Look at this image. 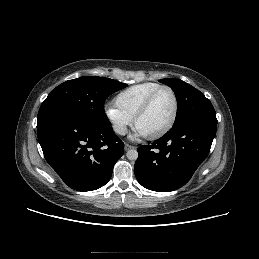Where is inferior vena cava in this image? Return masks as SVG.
I'll use <instances>...</instances> for the list:
<instances>
[{"label":"inferior vena cava","mask_w":259,"mask_h":259,"mask_svg":"<svg viewBox=\"0 0 259 259\" xmlns=\"http://www.w3.org/2000/svg\"><path fill=\"white\" fill-rule=\"evenodd\" d=\"M114 131L120 135H125L126 134V129L121 126V125H115L114 126Z\"/></svg>","instance_id":"inferior-vena-cava-1"}]
</instances>
